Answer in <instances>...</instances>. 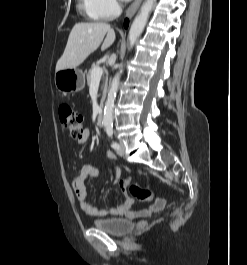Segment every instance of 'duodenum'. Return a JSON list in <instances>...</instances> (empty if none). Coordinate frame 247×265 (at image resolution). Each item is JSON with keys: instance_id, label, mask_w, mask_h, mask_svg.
I'll return each instance as SVG.
<instances>
[{"instance_id": "410a0bca", "label": "duodenum", "mask_w": 247, "mask_h": 265, "mask_svg": "<svg viewBox=\"0 0 247 265\" xmlns=\"http://www.w3.org/2000/svg\"><path fill=\"white\" fill-rule=\"evenodd\" d=\"M103 114L102 113H99L98 116H97V124L98 126H103Z\"/></svg>"}]
</instances>
